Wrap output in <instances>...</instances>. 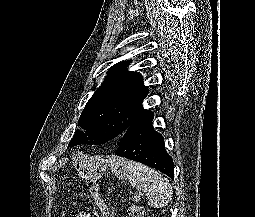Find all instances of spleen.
Instances as JSON below:
<instances>
[{"label": "spleen", "instance_id": "obj_1", "mask_svg": "<svg viewBox=\"0 0 255 217\" xmlns=\"http://www.w3.org/2000/svg\"><path fill=\"white\" fill-rule=\"evenodd\" d=\"M111 168L117 177L128 179L133 187L144 191L150 207L162 208L172 200V186L160 172L121 158L111 160Z\"/></svg>", "mask_w": 255, "mask_h": 217}]
</instances>
